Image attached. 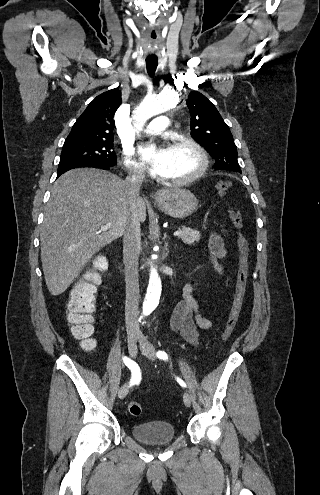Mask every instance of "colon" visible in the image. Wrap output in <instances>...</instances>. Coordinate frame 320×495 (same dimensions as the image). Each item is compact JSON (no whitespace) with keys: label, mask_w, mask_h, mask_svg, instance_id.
I'll return each mask as SVG.
<instances>
[{"label":"colon","mask_w":320,"mask_h":495,"mask_svg":"<svg viewBox=\"0 0 320 495\" xmlns=\"http://www.w3.org/2000/svg\"><path fill=\"white\" fill-rule=\"evenodd\" d=\"M231 187L232 185L230 182H221L218 185L219 195L222 197L227 196L231 190ZM229 215L234 227L238 230L236 242L239 265L235 296L233 299L231 312L221 335L223 341H227L230 338L239 319L248 281V260L250 254V244L248 238L242 231V214L238 210L231 208ZM105 269V259H97L93 268L87 271L82 278L76 282L67 303L68 322L70 324L71 331L76 338L82 340L83 345L88 349H91L94 346V341L90 337L93 332V314L96 309L95 295L97 292V286L101 281V275ZM128 409L130 414L133 416H139L142 413V406L138 402H131Z\"/></svg>","instance_id":"obj_1"}]
</instances>
